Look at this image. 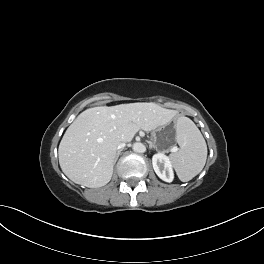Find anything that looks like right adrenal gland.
<instances>
[{
	"instance_id": "obj_1",
	"label": "right adrenal gland",
	"mask_w": 264,
	"mask_h": 264,
	"mask_svg": "<svg viewBox=\"0 0 264 264\" xmlns=\"http://www.w3.org/2000/svg\"><path fill=\"white\" fill-rule=\"evenodd\" d=\"M120 153H121V150H118V151H117V154H116V158H115V163H116V161L118 160Z\"/></svg>"
}]
</instances>
